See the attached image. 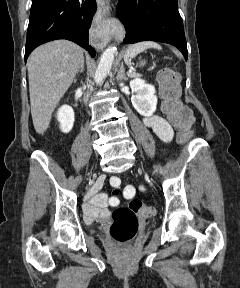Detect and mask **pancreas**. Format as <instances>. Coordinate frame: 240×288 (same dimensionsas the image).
<instances>
[{
	"mask_svg": "<svg viewBox=\"0 0 240 288\" xmlns=\"http://www.w3.org/2000/svg\"><path fill=\"white\" fill-rule=\"evenodd\" d=\"M138 75L136 73L129 74V77H137Z\"/></svg>",
	"mask_w": 240,
	"mask_h": 288,
	"instance_id": "1",
	"label": "pancreas"
}]
</instances>
